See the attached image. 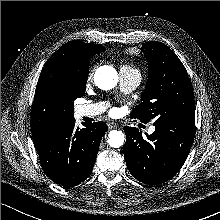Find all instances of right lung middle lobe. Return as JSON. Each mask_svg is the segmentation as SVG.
<instances>
[{
    "mask_svg": "<svg viewBox=\"0 0 220 220\" xmlns=\"http://www.w3.org/2000/svg\"><path fill=\"white\" fill-rule=\"evenodd\" d=\"M88 66L89 64H87L80 71L77 72H69L64 77L62 82V93L72 115L74 112V100L82 97L85 93L88 77Z\"/></svg>",
    "mask_w": 220,
    "mask_h": 220,
    "instance_id": "dd1d6c3e",
    "label": "right lung middle lobe"
}]
</instances>
